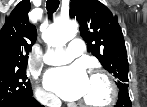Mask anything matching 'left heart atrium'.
<instances>
[{
    "label": "left heart atrium",
    "instance_id": "1",
    "mask_svg": "<svg viewBox=\"0 0 147 107\" xmlns=\"http://www.w3.org/2000/svg\"><path fill=\"white\" fill-rule=\"evenodd\" d=\"M89 78L81 65L52 69L45 76L46 87L67 101L81 99L86 93Z\"/></svg>",
    "mask_w": 147,
    "mask_h": 107
}]
</instances>
